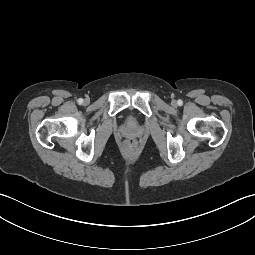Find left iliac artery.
<instances>
[{"instance_id": "44dca946", "label": "left iliac artery", "mask_w": 255, "mask_h": 255, "mask_svg": "<svg viewBox=\"0 0 255 255\" xmlns=\"http://www.w3.org/2000/svg\"><path fill=\"white\" fill-rule=\"evenodd\" d=\"M178 104H179V105H182V101H181V100H179V101H178Z\"/></svg>"}]
</instances>
